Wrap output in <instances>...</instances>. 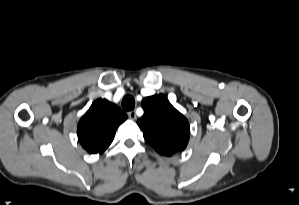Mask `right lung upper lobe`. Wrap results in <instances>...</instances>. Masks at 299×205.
Wrapping results in <instances>:
<instances>
[{"instance_id": "cb5924a9", "label": "right lung upper lobe", "mask_w": 299, "mask_h": 205, "mask_svg": "<svg viewBox=\"0 0 299 205\" xmlns=\"http://www.w3.org/2000/svg\"><path fill=\"white\" fill-rule=\"evenodd\" d=\"M127 118L115 104L97 99L78 123L77 135L88 153H102L112 143L115 131Z\"/></svg>"}]
</instances>
